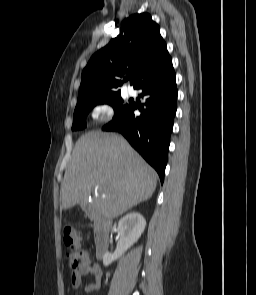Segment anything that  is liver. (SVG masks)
<instances>
[{"instance_id": "obj_1", "label": "liver", "mask_w": 256, "mask_h": 295, "mask_svg": "<svg viewBox=\"0 0 256 295\" xmlns=\"http://www.w3.org/2000/svg\"><path fill=\"white\" fill-rule=\"evenodd\" d=\"M158 175L121 136L91 131L76 142L61 185V208L88 202L98 189L95 209L116 218L148 200Z\"/></svg>"}]
</instances>
